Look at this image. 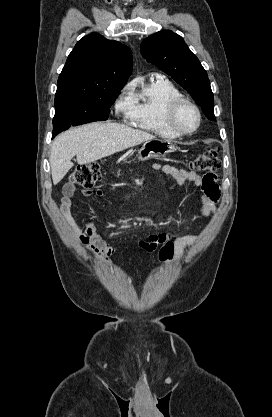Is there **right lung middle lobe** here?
<instances>
[{"label": "right lung middle lobe", "instance_id": "1", "mask_svg": "<svg viewBox=\"0 0 272 417\" xmlns=\"http://www.w3.org/2000/svg\"><path fill=\"white\" fill-rule=\"evenodd\" d=\"M121 89L55 97L53 137L68 129L71 125L76 126L93 121L107 120L110 107Z\"/></svg>", "mask_w": 272, "mask_h": 417}]
</instances>
